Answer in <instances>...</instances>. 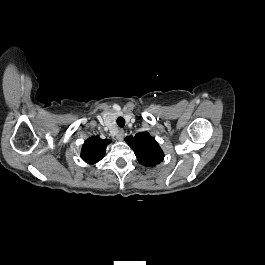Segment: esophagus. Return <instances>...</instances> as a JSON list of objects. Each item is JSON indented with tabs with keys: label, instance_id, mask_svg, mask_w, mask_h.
<instances>
[{
	"label": "esophagus",
	"instance_id": "1",
	"mask_svg": "<svg viewBox=\"0 0 265 265\" xmlns=\"http://www.w3.org/2000/svg\"><path fill=\"white\" fill-rule=\"evenodd\" d=\"M116 138L119 140V141H122L123 138H124V130L123 129H119L117 134H116Z\"/></svg>",
	"mask_w": 265,
	"mask_h": 265
}]
</instances>
